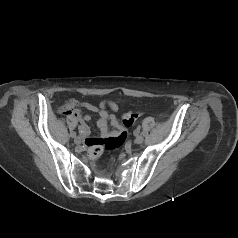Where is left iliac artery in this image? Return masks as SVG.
I'll return each instance as SVG.
<instances>
[{"label": "left iliac artery", "mask_w": 238, "mask_h": 238, "mask_svg": "<svg viewBox=\"0 0 238 238\" xmlns=\"http://www.w3.org/2000/svg\"><path fill=\"white\" fill-rule=\"evenodd\" d=\"M148 134H149V131H148L147 129H142V130H141V135H142L143 137H146Z\"/></svg>", "instance_id": "left-iliac-artery-1"}]
</instances>
